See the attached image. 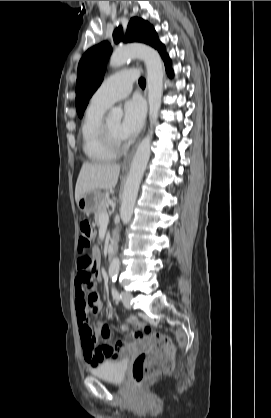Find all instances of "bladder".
<instances>
[{"mask_svg": "<svg viewBox=\"0 0 271 418\" xmlns=\"http://www.w3.org/2000/svg\"><path fill=\"white\" fill-rule=\"evenodd\" d=\"M128 361L126 358L105 361L90 369V373L102 380L111 383H121L127 371Z\"/></svg>", "mask_w": 271, "mask_h": 418, "instance_id": "obj_1", "label": "bladder"}]
</instances>
